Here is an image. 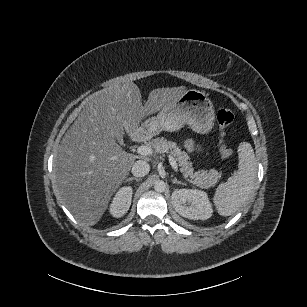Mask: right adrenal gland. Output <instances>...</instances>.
Here are the masks:
<instances>
[{"instance_id":"2a0ac1e0","label":"right adrenal gland","mask_w":307,"mask_h":307,"mask_svg":"<svg viewBox=\"0 0 307 307\" xmlns=\"http://www.w3.org/2000/svg\"><path fill=\"white\" fill-rule=\"evenodd\" d=\"M132 180H135L136 182H139V181H141V178L130 177V178H127L125 181L128 182V181H132Z\"/></svg>"}]
</instances>
